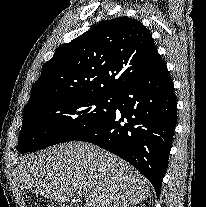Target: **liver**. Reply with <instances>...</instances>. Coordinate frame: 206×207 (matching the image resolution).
<instances>
[{
	"label": "liver",
	"mask_w": 206,
	"mask_h": 207,
	"mask_svg": "<svg viewBox=\"0 0 206 207\" xmlns=\"http://www.w3.org/2000/svg\"><path fill=\"white\" fill-rule=\"evenodd\" d=\"M16 180L20 188L61 203L84 192V207L136 205L150 191L133 166L86 142L59 144L23 157Z\"/></svg>",
	"instance_id": "6515ba94"
}]
</instances>
